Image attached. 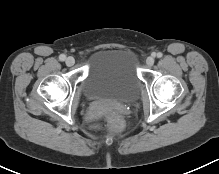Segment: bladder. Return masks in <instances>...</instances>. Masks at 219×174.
I'll use <instances>...</instances> for the list:
<instances>
[{"label": "bladder", "instance_id": "obj_1", "mask_svg": "<svg viewBox=\"0 0 219 174\" xmlns=\"http://www.w3.org/2000/svg\"><path fill=\"white\" fill-rule=\"evenodd\" d=\"M140 85L134 53L128 49L107 48L92 55L82 92L89 100L131 102L137 97Z\"/></svg>", "mask_w": 219, "mask_h": 174}]
</instances>
